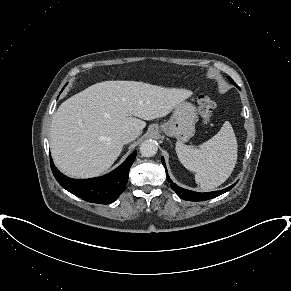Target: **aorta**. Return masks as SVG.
Wrapping results in <instances>:
<instances>
[{"mask_svg": "<svg viewBox=\"0 0 291 291\" xmlns=\"http://www.w3.org/2000/svg\"><path fill=\"white\" fill-rule=\"evenodd\" d=\"M157 143L153 140H145L140 145V153L144 157H152L157 153Z\"/></svg>", "mask_w": 291, "mask_h": 291, "instance_id": "obj_1", "label": "aorta"}]
</instances>
